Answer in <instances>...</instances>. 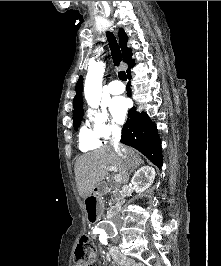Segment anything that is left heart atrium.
Instances as JSON below:
<instances>
[{"label": "left heart atrium", "instance_id": "39dd6f15", "mask_svg": "<svg viewBox=\"0 0 221 266\" xmlns=\"http://www.w3.org/2000/svg\"><path fill=\"white\" fill-rule=\"evenodd\" d=\"M127 107V102L123 97H117L112 100L110 111L116 121L122 122L125 119Z\"/></svg>", "mask_w": 221, "mask_h": 266}]
</instances>
